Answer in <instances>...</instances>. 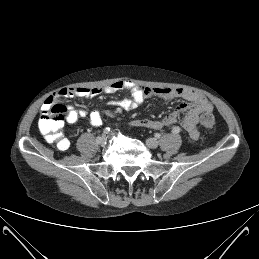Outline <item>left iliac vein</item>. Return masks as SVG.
<instances>
[{
  "label": "left iliac vein",
  "mask_w": 259,
  "mask_h": 259,
  "mask_svg": "<svg viewBox=\"0 0 259 259\" xmlns=\"http://www.w3.org/2000/svg\"><path fill=\"white\" fill-rule=\"evenodd\" d=\"M146 145L149 147V148H152V149H155L158 147L159 143L158 141L155 139V138H148L146 140Z\"/></svg>",
  "instance_id": "4c4485c4"
}]
</instances>
